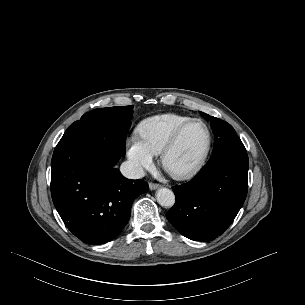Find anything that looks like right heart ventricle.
<instances>
[{"instance_id":"e07e8e85","label":"right heart ventricle","mask_w":305,"mask_h":305,"mask_svg":"<svg viewBox=\"0 0 305 305\" xmlns=\"http://www.w3.org/2000/svg\"><path fill=\"white\" fill-rule=\"evenodd\" d=\"M193 118L179 114H163L144 120L137 128L138 138L156 156L161 155L180 127Z\"/></svg>"}]
</instances>
